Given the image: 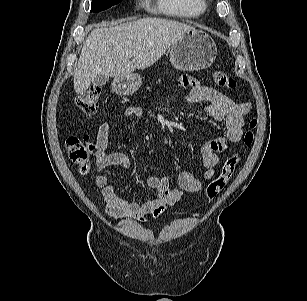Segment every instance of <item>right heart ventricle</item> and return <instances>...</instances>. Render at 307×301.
Here are the masks:
<instances>
[{
	"label": "right heart ventricle",
	"mask_w": 307,
	"mask_h": 301,
	"mask_svg": "<svg viewBox=\"0 0 307 301\" xmlns=\"http://www.w3.org/2000/svg\"><path fill=\"white\" fill-rule=\"evenodd\" d=\"M154 7L169 16L193 18L207 8L206 0H155Z\"/></svg>",
	"instance_id": "e07e8e85"
}]
</instances>
